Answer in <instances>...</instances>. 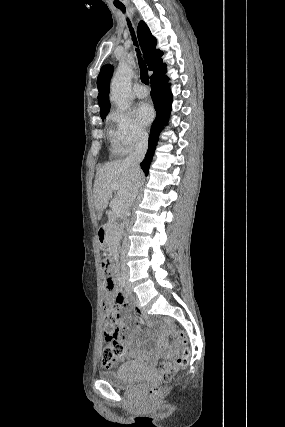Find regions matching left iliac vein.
Wrapping results in <instances>:
<instances>
[{
	"instance_id": "obj_1",
	"label": "left iliac vein",
	"mask_w": 285,
	"mask_h": 427,
	"mask_svg": "<svg viewBox=\"0 0 285 427\" xmlns=\"http://www.w3.org/2000/svg\"><path fill=\"white\" fill-rule=\"evenodd\" d=\"M125 290H126V292L131 293V286H130L129 282L126 283Z\"/></svg>"
}]
</instances>
